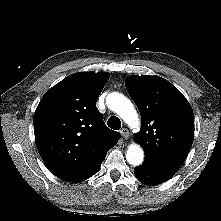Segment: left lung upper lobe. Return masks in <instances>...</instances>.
I'll use <instances>...</instances> for the list:
<instances>
[{
	"mask_svg": "<svg viewBox=\"0 0 221 221\" xmlns=\"http://www.w3.org/2000/svg\"><path fill=\"white\" fill-rule=\"evenodd\" d=\"M125 86L141 114L142 127L135 139L143 147L144 161L176 172L194 138L190 104L170 82L158 76H130Z\"/></svg>",
	"mask_w": 221,
	"mask_h": 221,
	"instance_id": "left-lung-upper-lobe-1",
	"label": "left lung upper lobe"
}]
</instances>
